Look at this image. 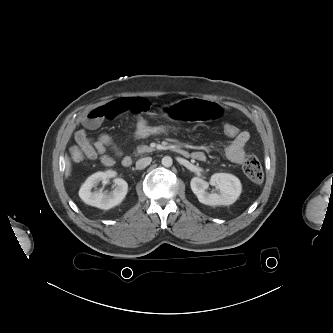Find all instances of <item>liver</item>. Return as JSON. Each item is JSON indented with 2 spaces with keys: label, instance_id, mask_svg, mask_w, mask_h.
<instances>
[{
  "label": "liver",
  "instance_id": "obj_1",
  "mask_svg": "<svg viewBox=\"0 0 333 333\" xmlns=\"http://www.w3.org/2000/svg\"><path fill=\"white\" fill-rule=\"evenodd\" d=\"M65 160H66L65 176L68 177L71 173V162L67 156L65 157Z\"/></svg>",
  "mask_w": 333,
  "mask_h": 333
}]
</instances>
